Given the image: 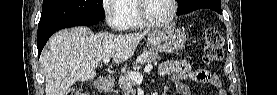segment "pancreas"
I'll return each mask as SVG.
<instances>
[{
  "label": "pancreas",
  "mask_w": 277,
  "mask_h": 95,
  "mask_svg": "<svg viewBox=\"0 0 277 95\" xmlns=\"http://www.w3.org/2000/svg\"><path fill=\"white\" fill-rule=\"evenodd\" d=\"M159 59L160 56L153 50L144 51L134 62L133 71L138 70L141 65L157 64V60ZM133 71L125 72L119 78V87L124 95H135V81L129 78V73Z\"/></svg>",
  "instance_id": "pancreas-1"
}]
</instances>
